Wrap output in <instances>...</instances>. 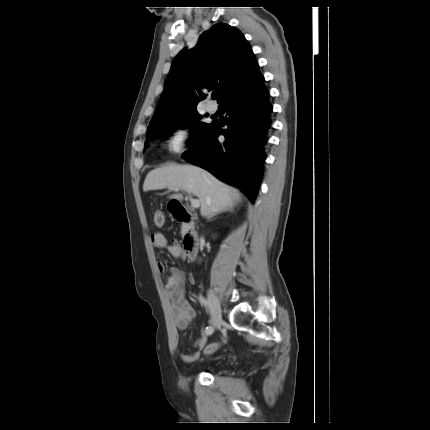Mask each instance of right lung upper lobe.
Masks as SVG:
<instances>
[{"label":"right lung upper lobe","mask_w":430,"mask_h":430,"mask_svg":"<svg viewBox=\"0 0 430 430\" xmlns=\"http://www.w3.org/2000/svg\"><path fill=\"white\" fill-rule=\"evenodd\" d=\"M260 75L244 35L226 23L216 24L201 35L195 49H183L175 57L149 127L196 109L206 90H214L212 97L222 103L235 86Z\"/></svg>","instance_id":"cb5924a9"}]
</instances>
